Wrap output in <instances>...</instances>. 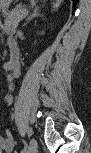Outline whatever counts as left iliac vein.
<instances>
[{
  "instance_id": "4c4485c4",
  "label": "left iliac vein",
  "mask_w": 91,
  "mask_h": 153,
  "mask_svg": "<svg viewBox=\"0 0 91 153\" xmlns=\"http://www.w3.org/2000/svg\"><path fill=\"white\" fill-rule=\"evenodd\" d=\"M37 148H38L37 141L34 138H32L30 140V149H29V152L30 153H36L37 152Z\"/></svg>"
}]
</instances>
